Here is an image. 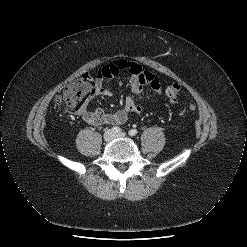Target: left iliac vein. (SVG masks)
I'll return each mask as SVG.
<instances>
[{"instance_id":"left-iliac-vein-1","label":"left iliac vein","mask_w":247,"mask_h":247,"mask_svg":"<svg viewBox=\"0 0 247 247\" xmlns=\"http://www.w3.org/2000/svg\"><path fill=\"white\" fill-rule=\"evenodd\" d=\"M114 137H115V138H129V137L126 135V133H124V132H121V133H119V134H115Z\"/></svg>"}]
</instances>
